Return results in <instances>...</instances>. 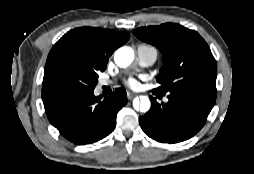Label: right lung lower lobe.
<instances>
[{
    "instance_id": "98d812e1",
    "label": "right lung lower lobe",
    "mask_w": 254,
    "mask_h": 174,
    "mask_svg": "<svg viewBox=\"0 0 254 174\" xmlns=\"http://www.w3.org/2000/svg\"><path fill=\"white\" fill-rule=\"evenodd\" d=\"M93 91L67 93L43 100L50 123L69 141L91 144L115 128L118 111L127 103L126 91L116 89L101 100Z\"/></svg>"
}]
</instances>
